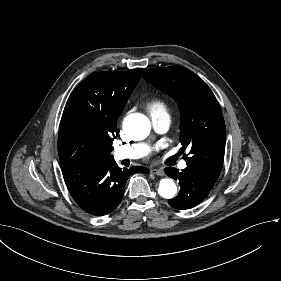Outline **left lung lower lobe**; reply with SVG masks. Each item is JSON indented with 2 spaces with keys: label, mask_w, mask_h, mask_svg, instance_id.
<instances>
[{
  "label": "left lung lower lobe",
  "mask_w": 281,
  "mask_h": 281,
  "mask_svg": "<svg viewBox=\"0 0 281 281\" xmlns=\"http://www.w3.org/2000/svg\"><path fill=\"white\" fill-rule=\"evenodd\" d=\"M165 173L169 177L179 180L181 189L178 195L168 200L169 205L176 209H190L198 205L209 194L217 181L190 166H187L182 172L176 168L167 167Z\"/></svg>",
  "instance_id": "obj_1"
}]
</instances>
